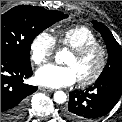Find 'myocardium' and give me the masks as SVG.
<instances>
[{
    "instance_id": "f54148a6",
    "label": "myocardium",
    "mask_w": 122,
    "mask_h": 122,
    "mask_svg": "<svg viewBox=\"0 0 122 122\" xmlns=\"http://www.w3.org/2000/svg\"><path fill=\"white\" fill-rule=\"evenodd\" d=\"M92 51H98L100 55L99 65L95 72L88 78L85 79H77V82L80 86H90L94 84L98 79L102 76L106 65H107V59H108V52L104 45L96 42V43H90L86 44L84 46H81L76 49H72V54L76 58H83L87 54L91 53Z\"/></svg>"
}]
</instances>
